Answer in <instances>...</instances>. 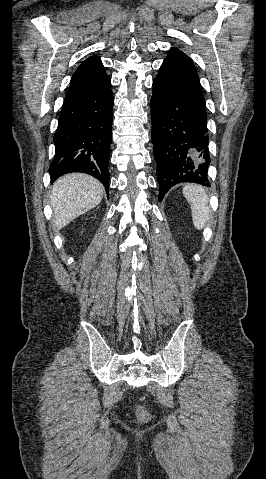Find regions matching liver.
<instances>
[{
	"label": "liver",
	"instance_id": "liver-1",
	"mask_svg": "<svg viewBox=\"0 0 266 479\" xmlns=\"http://www.w3.org/2000/svg\"><path fill=\"white\" fill-rule=\"evenodd\" d=\"M103 198L102 184L92 176L72 173L59 178L52 187L50 204L54 229L96 207Z\"/></svg>",
	"mask_w": 266,
	"mask_h": 479
}]
</instances>
